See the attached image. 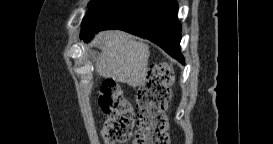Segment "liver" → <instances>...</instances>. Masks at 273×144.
<instances>
[{
  "instance_id": "6515ba94",
  "label": "liver",
  "mask_w": 273,
  "mask_h": 144,
  "mask_svg": "<svg viewBox=\"0 0 273 144\" xmlns=\"http://www.w3.org/2000/svg\"><path fill=\"white\" fill-rule=\"evenodd\" d=\"M101 53L94 57L95 71L132 87L145 83L150 56L147 44L126 32L111 30L99 36Z\"/></svg>"
}]
</instances>
